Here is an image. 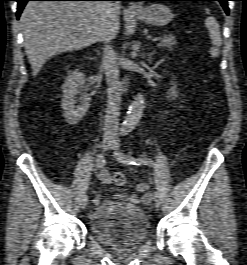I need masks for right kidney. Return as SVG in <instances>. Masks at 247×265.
Returning a JSON list of instances; mask_svg holds the SVG:
<instances>
[{
	"instance_id": "1",
	"label": "right kidney",
	"mask_w": 247,
	"mask_h": 265,
	"mask_svg": "<svg viewBox=\"0 0 247 265\" xmlns=\"http://www.w3.org/2000/svg\"><path fill=\"white\" fill-rule=\"evenodd\" d=\"M85 75L75 71L69 75L62 85L63 97L61 106L63 116L69 125L77 124L86 114L90 107V97L84 92ZM80 95L77 99L76 95Z\"/></svg>"
}]
</instances>
